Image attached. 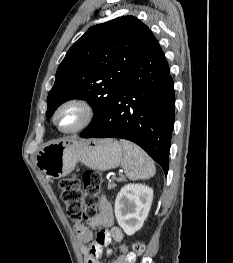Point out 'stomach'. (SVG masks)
<instances>
[{"label":"stomach","mask_w":233,"mask_h":263,"mask_svg":"<svg viewBox=\"0 0 233 263\" xmlns=\"http://www.w3.org/2000/svg\"><path fill=\"white\" fill-rule=\"evenodd\" d=\"M123 153V147L117 140L65 138L43 145L37 152L36 163L46 176L59 179L72 172L78 162L101 171L117 168Z\"/></svg>","instance_id":"stomach-1"}]
</instances>
